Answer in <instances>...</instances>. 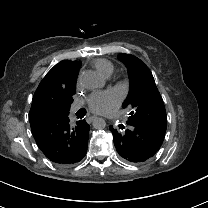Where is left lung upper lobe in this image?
Masks as SVG:
<instances>
[{
	"label": "left lung upper lobe",
	"mask_w": 208,
	"mask_h": 208,
	"mask_svg": "<svg viewBox=\"0 0 208 208\" xmlns=\"http://www.w3.org/2000/svg\"><path fill=\"white\" fill-rule=\"evenodd\" d=\"M118 59L128 69L130 89L123 103V108L130 110L128 120L165 135V106L152 73L136 56L122 53Z\"/></svg>",
	"instance_id": "left-lung-upper-lobe-1"
}]
</instances>
